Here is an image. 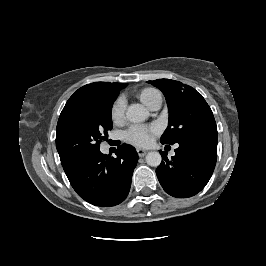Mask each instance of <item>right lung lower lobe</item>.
Wrapping results in <instances>:
<instances>
[{
  "label": "right lung lower lobe",
  "instance_id": "98d812e1",
  "mask_svg": "<svg viewBox=\"0 0 266 266\" xmlns=\"http://www.w3.org/2000/svg\"><path fill=\"white\" fill-rule=\"evenodd\" d=\"M116 155L110 157L98 150L79 161L67 175L82 199L100 207L115 206L126 199L138 154L123 144L117 147Z\"/></svg>",
  "mask_w": 266,
  "mask_h": 266
}]
</instances>
